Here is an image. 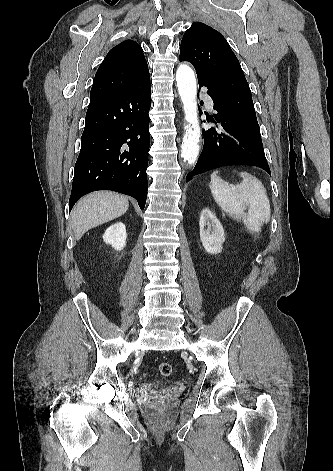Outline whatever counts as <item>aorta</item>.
<instances>
[{
	"mask_svg": "<svg viewBox=\"0 0 333 471\" xmlns=\"http://www.w3.org/2000/svg\"><path fill=\"white\" fill-rule=\"evenodd\" d=\"M178 92L185 113V134L181 146V157L193 164L199 154L200 126L196 102V79L194 71L186 64H181L176 71Z\"/></svg>",
	"mask_w": 333,
	"mask_h": 471,
	"instance_id": "obj_1",
	"label": "aorta"
}]
</instances>
